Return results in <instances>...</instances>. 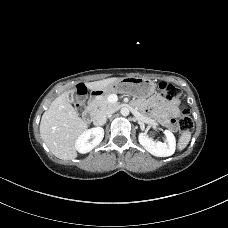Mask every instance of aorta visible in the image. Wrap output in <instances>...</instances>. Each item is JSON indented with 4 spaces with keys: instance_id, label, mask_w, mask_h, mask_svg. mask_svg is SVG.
Returning a JSON list of instances; mask_svg holds the SVG:
<instances>
[{
    "instance_id": "aorta-1",
    "label": "aorta",
    "mask_w": 228,
    "mask_h": 228,
    "mask_svg": "<svg viewBox=\"0 0 228 228\" xmlns=\"http://www.w3.org/2000/svg\"><path fill=\"white\" fill-rule=\"evenodd\" d=\"M129 108L128 107H122L121 110H120V113L123 115V116H128L129 115Z\"/></svg>"
}]
</instances>
